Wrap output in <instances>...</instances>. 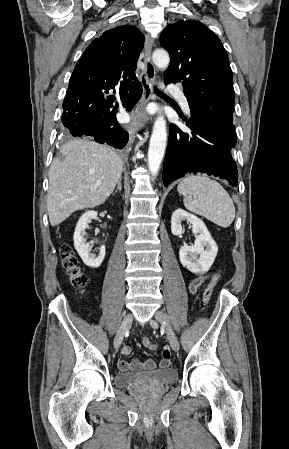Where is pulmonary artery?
<instances>
[{
	"label": "pulmonary artery",
	"mask_w": 289,
	"mask_h": 449,
	"mask_svg": "<svg viewBox=\"0 0 289 449\" xmlns=\"http://www.w3.org/2000/svg\"><path fill=\"white\" fill-rule=\"evenodd\" d=\"M173 93L176 96V98L178 99V101H179L180 105L182 106V108L184 109V111L189 113L190 112L189 104H188L187 98L185 97L184 93L178 89H174Z\"/></svg>",
	"instance_id": "pulmonary-artery-1"
}]
</instances>
